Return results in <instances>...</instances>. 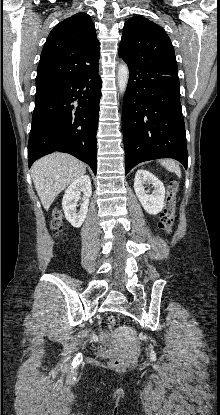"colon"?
I'll list each match as a JSON object with an SVG mask.
<instances>
[{"instance_id":"obj_1","label":"colon","mask_w":220,"mask_h":415,"mask_svg":"<svg viewBox=\"0 0 220 415\" xmlns=\"http://www.w3.org/2000/svg\"><path fill=\"white\" fill-rule=\"evenodd\" d=\"M167 186V197L165 206L161 214L160 228L163 232L169 233L171 231L176 205V194L178 191V184L175 179L169 178L166 181ZM51 227L56 234H61L65 226L63 224L62 216L60 212L56 211L51 221ZM115 315H109L107 318V326L109 330L113 331L116 326ZM134 364V360L131 358H115L111 361V366L115 369H126Z\"/></svg>"}]
</instances>
